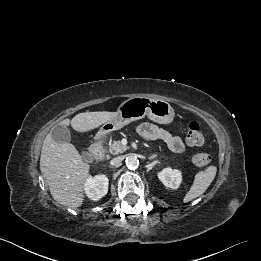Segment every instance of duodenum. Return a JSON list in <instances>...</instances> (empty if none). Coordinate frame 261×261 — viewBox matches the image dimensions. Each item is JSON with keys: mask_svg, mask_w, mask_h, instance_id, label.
Listing matches in <instances>:
<instances>
[{"mask_svg": "<svg viewBox=\"0 0 261 261\" xmlns=\"http://www.w3.org/2000/svg\"><path fill=\"white\" fill-rule=\"evenodd\" d=\"M90 154L94 160H100L104 156V145L101 139L96 140L90 147Z\"/></svg>", "mask_w": 261, "mask_h": 261, "instance_id": "410a0bca", "label": "duodenum"}]
</instances>
